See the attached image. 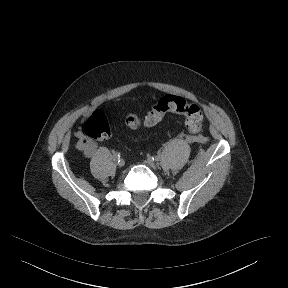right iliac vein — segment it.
I'll list each match as a JSON object with an SVG mask.
<instances>
[{"label": "right iliac vein", "mask_w": 288, "mask_h": 288, "mask_svg": "<svg viewBox=\"0 0 288 288\" xmlns=\"http://www.w3.org/2000/svg\"><path fill=\"white\" fill-rule=\"evenodd\" d=\"M114 161L116 162V165L118 167H122L124 165L123 161L122 160H118V159H114Z\"/></svg>", "instance_id": "63e3f726"}]
</instances>
